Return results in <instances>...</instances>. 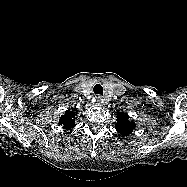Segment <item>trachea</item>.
Here are the masks:
<instances>
[{"label": "trachea", "instance_id": "1", "mask_svg": "<svg viewBox=\"0 0 187 187\" xmlns=\"http://www.w3.org/2000/svg\"><path fill=\"white\" fill-rule=\"evenodd\" d=\"M95 94L103 95V87L100 84H96L93 88Z\"/></svg>", "mask_w": 187, "mask_h": 187}]
</instances>
